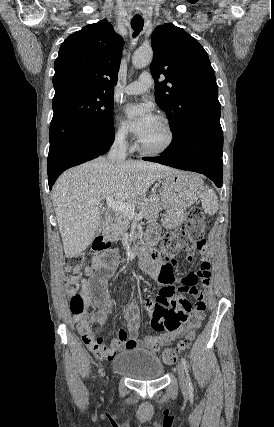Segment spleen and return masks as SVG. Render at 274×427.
<instances>
[{"mask_svg": "<svg viewBox=\"0 0 274 427\" xmlns=\"http://www.w3.org/2000/svg\"><path fill=\"white\" fill-rule=\"evenodd\" d=\"M195 196H200L202 202V208L205 214L214 215L218 212V198L215 192L212 190H206V192H201L203 182L202 180H195Z\"/></svg>", "mask_w": 274, "mask_h": 427, "instance_id": "obj_1", "label": "spleen"}]
</instances>
